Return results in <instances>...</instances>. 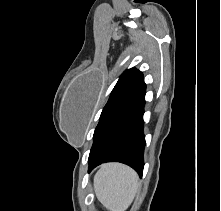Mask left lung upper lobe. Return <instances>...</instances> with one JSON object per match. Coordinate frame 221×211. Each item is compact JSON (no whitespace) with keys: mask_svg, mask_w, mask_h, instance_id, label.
Listing matches in <instances>:
<instances>
[{"mask_svg":"<svg viewBox=\"0 0 221 211\" xmlns=\"http://www.w3.org/2000/svg\"><path fill=\"white\" fill-rule=\"evenodd\" d=\"M145 87L142 72L131 68L119 78L100 116L94 131L93 143L100 137L111 120L130 102H132Z\"/></svg>","mask_w":221,"mask_h":211,"instance_id":"5c2ea615","label":"left lung upper lobe"}]
</instances>
